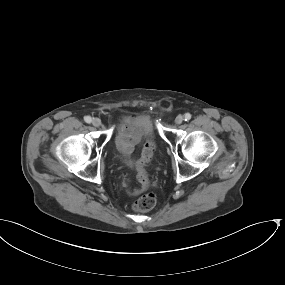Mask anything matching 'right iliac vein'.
I'll list each match as a JSON object with an SVG mask.
<instances>
[{"label":"right iliac vein","mask_w":285,"mask_h":285,"mask_svg":"<svg viewBox=\"0 0 285 285\" xmlns=\"http://www.w3.org/2000/svg\"><path fill=\"white\" fill-rule=\"evenodd\" d=\"M92 124H93V126H95V127H100V126H101V120H100L99 118H94V119L92 120Z\"/></svg>","instance_id":"63e3f726"}]
</instances>
